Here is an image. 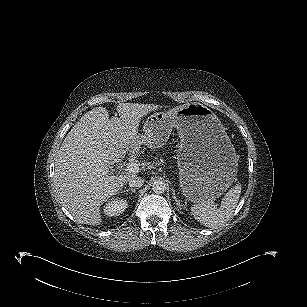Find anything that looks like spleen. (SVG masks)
I'll return each mask as SVG.
<instances>
[{"instance_id":"1","label":"spleen","mask_w":307,"mask_h":307,"mask_svg":"<svg viewBox=\"0 0 307 307\" xmlns=\"http://www.w3.org/2000/svg\"><path fill=\"white\" fill-rule=\"evenodd\" d=\"M240 194L241 185L237 183L225 194L219 207L214 204V199H203L191 207V214L202 225L217 228L231 217L239 201Z\"/></svg>"}]
</instances>
